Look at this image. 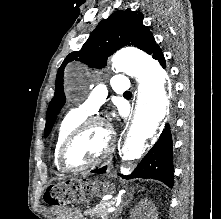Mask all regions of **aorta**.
Masks as SVG:
<instances>
[{"label":"aorta","instance_id":"aorta-1","mask_svg":"<svg viewBox=\"0 0 221 219\" xmlns=\"http://www.w3.org/2000/svg\"><path fill=\"white\" fill-rule=\"evenodd\" d=\"M112 66L138 78L140 87L130 129L122 147L126 163L140 158L146 138L151 137L165 118L169 108L166 73L159 62L145 52L127 47L112 57ZM80 78L77 68L65 71V83L75 84Z\"/></svg>","mask_w":221,"mask_h":219}]
</instances>
